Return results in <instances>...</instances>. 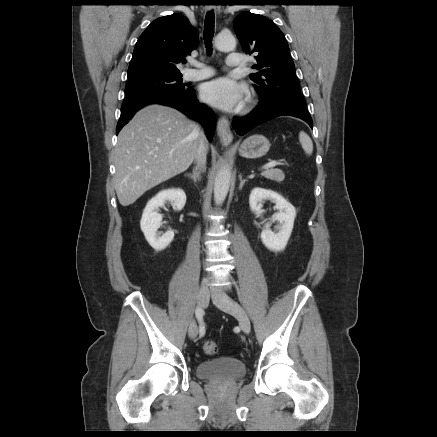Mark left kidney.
<instances>
[{
	"mask_svg": "<svg viewBox=\"0 0 437 437\" xmlns=\"http://www.w3.org/2000/svg\"><path fill=\"white\" fill-rule=\"evenodd\" d=\"M264 200H270L275 203V208L278 212L271 217L270 221L271 223L277 221L279 224L275 228L276 231H272L270 229L271 223H266L261 232V240L269 250L276 252L282 251L285 249L290 238L296 217V210L294 206L280 194L272 190L256 187L250 193L249 205L251 211L258 217L261 216L262 202Z\"/></svg>",
	"mask_w": 437,
	"mask_h": 437,
	"instance_id": "5707ae66",
	"label": "left kidney"
}]
</instances>
